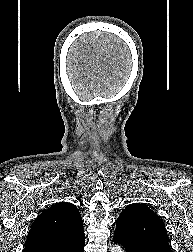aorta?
Instances as JSON below:
<instances>
[{"mask_svg":"<svg viewBox=\"0 0 193 252\" xmlns=\"http://www.w3.org/2000/svg\"><path fill=\"white\" fill-rule=\"evenodd\" d=\"M111 252H124V250L122 249V247L120 245H114L111 248Z\"/></svg>","mask_w":193,"mask_h":252,"instance_id":"1","label":"aorta"}]
</instances>
